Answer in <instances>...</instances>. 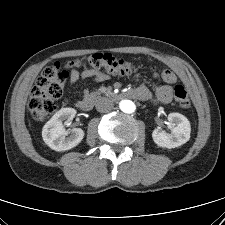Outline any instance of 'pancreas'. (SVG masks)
<instances>
[{
	"label": "pancreas",
	"mask_w": 225,
	"mask_h": 225,
	"mask_svg": "<svg viewBox=\"0 0 225 225\" xmlns=\"http://www.w3.org/2000/svg\"><path fill=\"white\" fill-rule=\"evenodd\" d=\"M99 91L102 92V93H109L108 89H106L105 87H101L99 89Z\"/></svg>",
	"instance_id": "pancreas-1"
}]
</instances>
